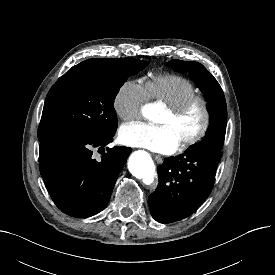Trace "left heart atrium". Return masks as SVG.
<instances>
[{"instance_id": "left-heart-atrium-1", "label": "left heart atrium", "mask_w": 275, "mask_h": 275, "mask_svg": "<svg viewBox=\"0 0 275 275\" xmlns=\"http://www.w3.org/2000/svg\"><path fill=\"white\" fill-rule=\"evenodd\" d=\"M119 139L123 144L161 153H172L180 144L169 126L145 122H133L121 126Z\"/></svg>"}]
</instances>
